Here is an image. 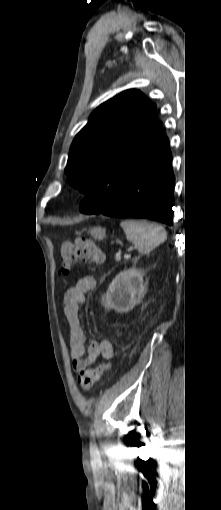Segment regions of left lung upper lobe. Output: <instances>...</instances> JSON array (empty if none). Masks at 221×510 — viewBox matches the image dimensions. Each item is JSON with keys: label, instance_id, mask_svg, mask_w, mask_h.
Wrapping results in <instances>:
<instances>
[{"label": "left lung upper lobe", "instance_id": "left-lung-upper-lobe-1", "mask_svg": "<svg viewBox=\"0 0 221 510\" xmlns=\"http://www.w3.org/2000/svg\"><path fill=\"white\" fill-rule=\"evenodd\" d=\"M155 104L127 90L100 105L70 148L65 173L69 184L102 209L140 168L169 146Z\"/></svg>", "mask_w": 221, "mask_h": 510}]
</instances>
